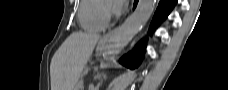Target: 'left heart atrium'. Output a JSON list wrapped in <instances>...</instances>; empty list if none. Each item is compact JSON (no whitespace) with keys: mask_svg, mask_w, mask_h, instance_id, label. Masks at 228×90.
<instances>
[{"mask_svg":"<svg viewBox=\"0 0 228 90\" xmlns=\"http://www.w3.org/2000/svg\"><path fill=\"white\" fill-rule=\"evenodd\" d=\"M121 8H122V6H120V5H118V4H115L114 7H113V11H114L115 13H117V12L120 11Z\"/></svg>","mask_w":228,"mask_h":90,"instance_id":"39dd6f15","label":"left heart atrium"}]
</instances>
